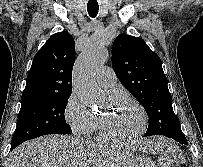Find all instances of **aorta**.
Listing matches in <instances>:
<instances>
[{
	"instance_id": "aorta-1",
	"label": "aorta",
	"mask_w": 203,
	"mask_h": 167,
	"mask_svg": "<svg viewBox=\"0 0 203 167\" xmlns=\"http://www.w3.org/2000/svg\"><path fill=\"white\" fill-rule=\"evenodd\" d=\"M108 59V50L98 42H90L76 60L73 72V89L88 106H95L102 97L95 82L96 71Z\"/></svg>"
}]
</instances>
